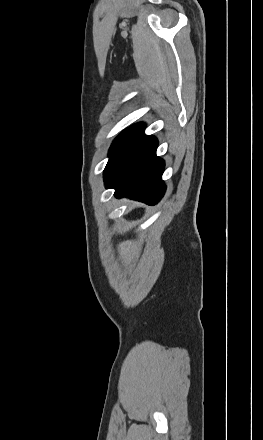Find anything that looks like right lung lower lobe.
I'll return each instance as SVG.
<instances>
[{
    "label": "right lung lower lobe",
    "mask_w": 263,
    "mask_h": 440,
    "mask_svg": "<svg viewBox=\"0 0 263 440\" xmlns=\"http://www.w3.org/2000/svg\"><path fill=\"white\" fill-rule=\"evenodd\" d=\"M157 146L154 136L144 135L117 169L104 179L106 188H114L116 197L156 204L166 188L162 181L165 164L156 156Z\"/></svg>",
    "instance_id": "1"
}]
</instances>
